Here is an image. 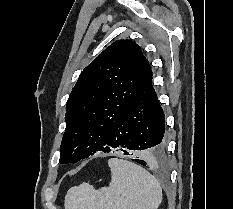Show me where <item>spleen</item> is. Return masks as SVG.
<instances>
[{"label":"spleen","mask_w":233,"mask_h":209,"mask_svg":"<svg viewBox=\"0 0 233 209\" xmlns=\"http://www.w3.org/2000/svg\"><path fill=\"white\" fill-rule=\"evenodd\" d=\"M111 182L96 190L88 183L74 186L65 196V209H158L162 189L141 166L118 158L108 160Z\"/></svg>","instance_id":"1"}]
</instances>
